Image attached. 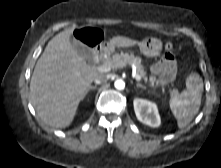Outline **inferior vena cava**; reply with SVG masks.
<instances>
[{"instance_id": "1", "label": "inferior vena cava", "mask_w": 221, "mask_h": 168, "mask_svg": "<svg viewBox=\"0 0 221 168\" xmlns=\"http://www.w3.org/2000/svg\"><path fill=\"white\" fill-rule=\"evenodd\" d=\"M106 80H107L106 75L100 73V74H98V75L95 77L94 82H95L96 84H101V83L106 82Z\"/></svg>"}]
</instances>
